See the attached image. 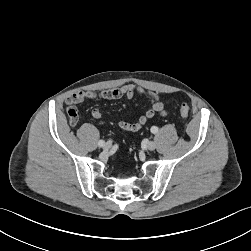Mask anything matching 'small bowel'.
<instances>
[{
    "label": "small bowel",
    "instance_id": "c3829d8e",
    "mask_svg": "<svg viewBox=\"0 0 251 251\" xmlns=\"http://www.w3.org/2000/svg\"><path fill=\"white\" fill-rule=\"evenodd\" d=\"M138 94L145 96L149 100L150 106L148 110L143 115H141L135 122H127V121L119 122V127L122 130L128 132H136L140 130L147 123V121L153 118L156 114L162 116L167 114V110L165 108L166 102L162 100L160 96L154 91L142 88L135 84H125L120 87L104 90L101 92L80 90L67 97L66 105L68 107V111L72 108L76 110V105L83 102L86 99L115 100V99H120L122 97L132 98ZM91 115L94 119H100L102 113L100 109L94 107L91 110Z\"/></svg>",
    "mask_w": 251,
    "mask_h": 251
}]
</instances>
